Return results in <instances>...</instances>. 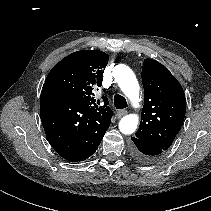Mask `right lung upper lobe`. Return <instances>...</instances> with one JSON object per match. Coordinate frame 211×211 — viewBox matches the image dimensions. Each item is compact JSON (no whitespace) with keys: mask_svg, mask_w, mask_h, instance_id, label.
<instances>
[{"mask_svg":"<svg viewBox=\"0 0 211 211\" xmlns=\"http://www.w3.org/2000/svg\"><path fill=\"white\" fill-rule=\"evenodd\" d=\"M109 56L99 50L77 51L63 58L49 72L42 90L54 91L74 98L87 115H94L105 123H111L112 111L105 97L98 107L93 89L102 85L103 68Z\"/></svg>","mask_w":211,"mask_h":211,"instance_id":"1","label":"right lung upper lobe"}]
</instances>
